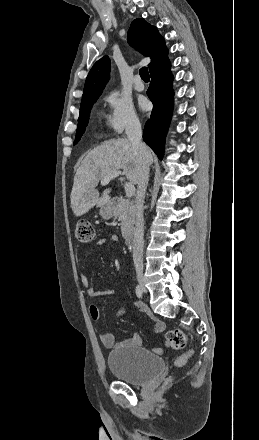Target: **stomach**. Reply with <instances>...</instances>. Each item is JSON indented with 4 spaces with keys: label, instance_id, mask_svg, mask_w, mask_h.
I'll list each match as a JSON object with an SVG mask.
<instances>
[{
    "label": "stomach",
    "instance_id": "1",
    "mask_svg": "<svg viewBox=\"0 0 259 440\" xmlns=\"http://www.w3.org/2000/svg\"><path fill=\"white\" fill-rule=\"evenodd\" d=\"M116 210L112 203H107L100 209V215L103 219L108 220L115 216Z\"/></svg>",
    "mask_w": 259,
    "mask_h": 440
}]
</instances>
